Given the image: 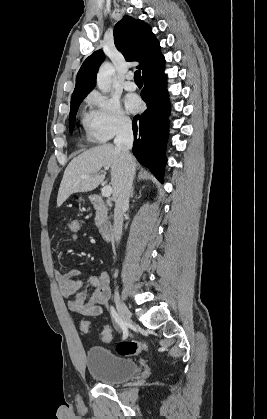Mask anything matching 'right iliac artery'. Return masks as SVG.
<instances>
[{"label":"right iliac artery","instance_id":"obj_1","mask_svg":"<svg viewBox=\"0 0 267 419\" xmlns=\"http://www.w3.org/2000/svg\"><path fill=\"white\" fill-rule=\"evenodd\" d=\"M111 315L113 317V319L115 320V322L119 325V327L122 329L123 331V339L128 337V330H127V326L126 324L122 321V319L120 318V316L117 314V312L115 311L114 307L111 306Z\"/></svg>","mask_w":267,"mask_h":419}]
</instances>
